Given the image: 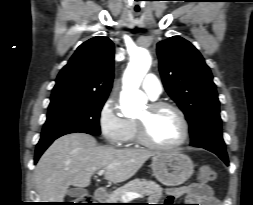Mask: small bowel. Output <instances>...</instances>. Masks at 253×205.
I'll use <instances>...</instances> for the list:
<instances>
[{
	"instance_id": "small-bowel-1",
	"label": "small bowel",
	"mask_w": 253,
	"mask_h": 205,
	"mask_svg": "<svg viewBox=\"0 0 253 205\" xmlns=\"http://www.w3.org/2000/svg\"><path fill=\"white\" fill-rule=\"evenodd\" d=\"M167 195L169 203L176 197L186 196L189 202L196 203L190 205H219L211 188L202 183H192L188 186L170 189L167 191Z\"/></svg>"
}]
</instances>
